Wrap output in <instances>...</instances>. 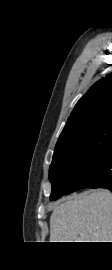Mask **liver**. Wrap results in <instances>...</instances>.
<instances>
[{
    "label": "liver",
    "mask_w": 112,
    "mask_h": 270,
    "mask_svg": "<svg viewBox=\"0 0 112 270\" xmlns=\"http://www.w3.org/2000/svg\"><path fill=\"white\" fill-rule=\"evenodd\" d=\"M50 242H112V193L105 189L73 195L50 217Z\"/></svg>",
    "instance_id": "liver-1"
}]
</instances>
